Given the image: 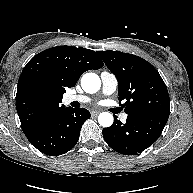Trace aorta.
<instances>
[{
    "instance_id": "obj_1",
    "label": "aorta",
    "mask_w": 193,
    "mask_h": 193,
    "mask_svg": "<svg viewBox=\"0 0 193 193\" xmlns=\"http://www.w3.org/2000/svg\"><path fill=\"white\" fill-rule=\"evenodd\" d=\"M81 87L86 93H96L101 87V80L95 73H86L81 78ZM113 120V115L109 112H102L98 116V123L103 127H110Z\"/></svg>"
}]
</instances>
